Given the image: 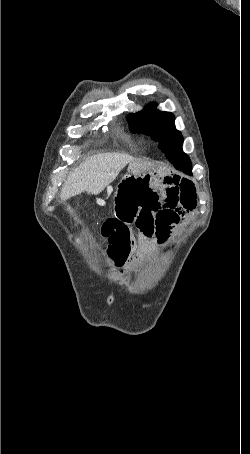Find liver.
<instances>
[{
	"instance_id": "obj_1",
	"label": "liver",
	"mask_w": 250,
	"mask_h": 454,
	"mask_svg": "<svg viewBox=\"0 0 250 454\" xmlns=\"http://www.w3.org/2000/svg\"><path fill=\"white\" fill-rule=\"evenodd\" d=\"M132 162L137 160L124 153H101L89 157L67 177L61 191V201L82 192L98 195Z\"/></svg>"
}]
</instances>
